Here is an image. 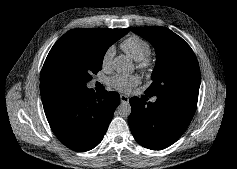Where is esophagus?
Wrapping results in <instances>:
<instances>
[{"label": "esophagus", "instance_id": "obj_1", "mask_svg": "<svg viewBox=\"0 0 237 169\" xmlns=\"http://www.w3.org/2000/svg\"><path fill=\"white\" fill-rule=\"evenodd\" d=\"M120 100H121V102H123V103H128V102H129V97L126 96V95L121 94V95H120Z\"/></svg>", "mask_w": 237, "mask_h": 169}]
</instances>
